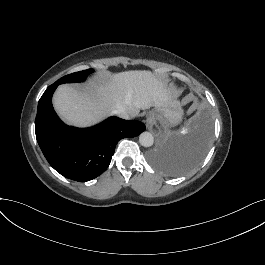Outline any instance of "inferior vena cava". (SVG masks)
Instances as JSON below:
<instances>
[{
	"instance_id": "obj_1",
	"label": "inferior vena cava",
	"mask_w": 265,
	"mask_h": 265,
	"mask_svg": "<svg viewBox=\"0 0 265 265\" xmlns=\"http://www.w3.org/2000/svg\"><path fill=\"white\" fill-rule=\"evenodd\" d=\"M112 114H115V115H117L118 117H120L122 119H129V114L126 111V109L123 108V107H119V108L113 110Z\"/></svg>"
}]
</instances>
